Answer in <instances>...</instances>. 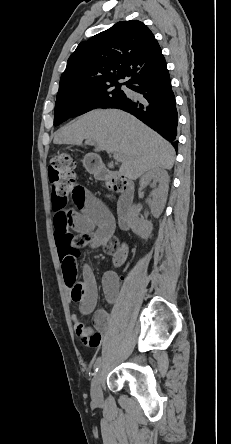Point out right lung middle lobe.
<instances>
[{
	"instance_id": "obj_1",
	"label": "right lung middle lobe",
	"mask_w": 231,
	"mask_h": 444,
	"mask_svg": "<svg viewBox=\"0 0 231 444\" xmlns=\"http://www.w3.org/2000/svg\"><path fill=\"white\" fill-rule=\"evenodd\" d=\"M120 88V83H112L58 94L55 103L54 125L57 126L69 118L79 116L92 109L110 108L127 97Z\"/></svg>"
}]
</instances>
